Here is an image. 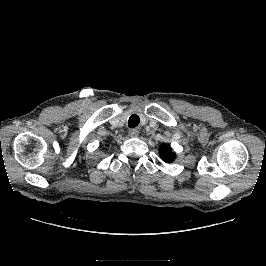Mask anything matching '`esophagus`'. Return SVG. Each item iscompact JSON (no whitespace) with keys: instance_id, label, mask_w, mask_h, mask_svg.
I'll return each instance as SVG.
<instances>
[{"instance_id":"esophagus-1","label":"esophagus","mask_w":266,"mask_h":266,"mask_svg":"<svg viewBox=\"0 0 266 266\" xmlns=\"http://www.w3.org/2000/svg\"><path fill=\"white\" fill-rule=\"evenodd\" d=\"M139 135V131L137 129H131L129 130V136L132 138H136Z\"/></svg>"}]
</instances>
